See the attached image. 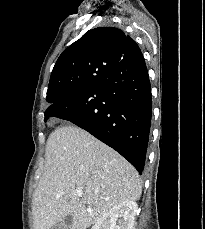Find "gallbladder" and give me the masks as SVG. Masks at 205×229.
<instances>
[{
  "mask_svg": "<svg viewBox=\"0 0 205 229\" xmlns=\"http://www.w3.org/2000/svg\"><path fill=\"white\" fill-rule=\"evenodd\" d=\"M72 220V215L69 214L63 220L53 225L51 229H71L70 227L72 225Z\"/></svg>",
  "mask_w": 205,
  "mask_h": 229,
  "instance_id": "obj_1",
  "label": "gallbladder"
}]
</instances>
